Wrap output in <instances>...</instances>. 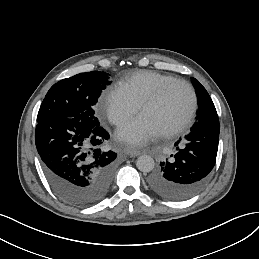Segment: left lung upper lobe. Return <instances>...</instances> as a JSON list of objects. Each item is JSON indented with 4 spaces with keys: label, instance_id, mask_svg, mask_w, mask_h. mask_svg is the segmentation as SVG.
<instances>
[{
    "label": "left lung upper lobe",
    "instance_id": "1",
    "mask_svg": "<svg viewBox=\"0 0 259 259\" xmlns=\"http://www.w3.org/2000/svg\"><path fill=\"white\" fill-rule=\"evenodd\" d=\"M192 82L198 99L197 120L202 117L217 115L216 108L206 89L195 78H192Z\"/></svg>",
    "mask_w": 259,
    "mask_h": 259
}]
</instances>
